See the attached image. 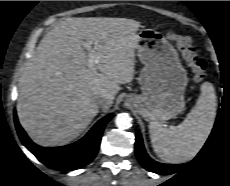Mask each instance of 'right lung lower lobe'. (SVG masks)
Instances as JSON below:
<instances>
[{
    "label": "right lung lower lobe",
    "mask_w": 230,
    "mask_h": 186,
    "mask_svg": "<svg viewBox=\"0 0 230 186\" xmlns=\"http://www.w3.org/2000/svg\"><path fill=\"white\" fill-rule=\"evenodd\" d=\"M112 116L113 114H110L99 120L87 135L76 143L54 148L41 147L33 143L20 126L16 114L14 120L22 143L39 161L58 171H71L84 167L93 160L98 151L104 127Z\"/></svg>",
    "instance_id": "obj_1"
}]
</instances>
